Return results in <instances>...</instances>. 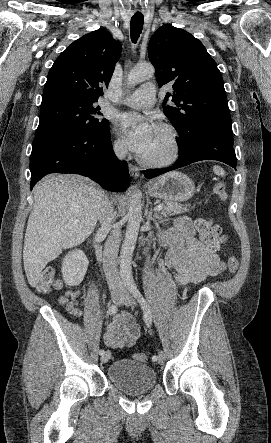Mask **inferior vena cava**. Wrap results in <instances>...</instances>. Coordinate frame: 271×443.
Returning <instances> with one entry per match:
<instances>
[{
	"label": "inferior vena cava",
	"mask_w": 271,
	"mask_h": 443,
	"mask_svg": "<svg viewBox=\"0 0 271 443\" xmlns=\"http://www.w3.org/2000/svg\"><path fill=\"white\" fill-rule=\"evenodd\" d=\"M113 148L119 160H124V158H126L128 150L125 142H115ZM114 216L115 214L113 212V208H111V202L108 200L107 196H105L99 214V220L101 223L99 231H109L111 227H113V229L111 235H109L105 243L103 251V269L105 271L106 279L111 289L112 296H125L126 290H124L121 284V279L116 267V257L121 241V229L120 227H115V225H112V223H114Z\"/></svg>",
	"instance_id": "1"
}]
</instances>
